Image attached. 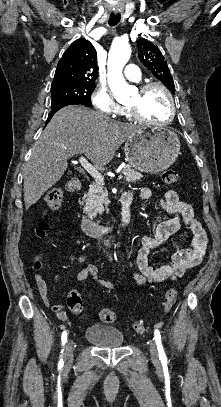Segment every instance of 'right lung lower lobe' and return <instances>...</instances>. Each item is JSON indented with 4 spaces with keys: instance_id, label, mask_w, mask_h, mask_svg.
<instances>
[{
    "instance_id": "right-lung-lower-lobe-1",
    "label": "right lung lower lobe",
    "mask_w": 221,
    "mask_h": 407,
    "mask_svg": "<svg viewBox=\"0 0 221 407\" xmlns=\"http://www.w3.org/2000/svg\"><path fill=\"white\" fill-rule=\"evenodd\" d=\"M72 104H76V103H63V104H59V105H57V106H54V107H52V110H51V112L49 113V116H48V120H50L51 118H52V116L59 110V109H61L62 107H64V106H67V105H72Z\"/></svg>"
}]
</instances>
